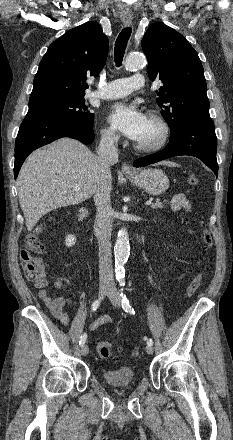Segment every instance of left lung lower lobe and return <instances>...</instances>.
<instances>
[{"instance_id": "left-lung-lower-lobe-1", "label": "left lung lower lobe", "mask_w": 233, "mask_h": 440, "mask_svg": "<svg viewBox=\"0 0 233 440\" xmlns=\"http://www.w3.org/2000/svg\"><path fill=\"white\" fill-rule=\"evenodd\" d=\"M216 153L217 137L212 119L195 117L187 120L181 130L170 137L164 150L138 159L133 166L142 167L170 157L189 155L199 158L218 176Z\"/></svg>"}]
</instances>
